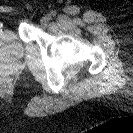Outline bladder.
I'll return each mask as SVG.
<instances>
[{
  "mask_svg": "<svg viewBox=\"0 0 133 133\" xmlns=\"http://www.w3.org/2000/svg\"><path fill=\"white\" fill-rule=\"evenodd\" d=\"M23 54L24 45L17 33L8 26H0V58L16 60Z\"/></svg>",
  "mask_w": 133,
  "mask_h": 133,
  "instance_id": "1",
  "label": "bladder"
}]
</instances>
